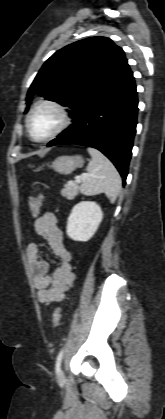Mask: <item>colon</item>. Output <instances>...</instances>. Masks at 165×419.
Listing matches in <instances>:
<instances>
[{"label":"colon","mask_w":165,"mask_h":419,"mask_svg":"<svg viewBox=\"0 0 165 419\" xmlns=\"http://www.w3.org/2000/svg\"><path fill=\"white\" fill-rule=\"evenodd\" d=\"M42 196L34 195L29 198V208L33 217H38L41 210ZM61 320V309L56 308L52 314V323L54 327L60 324Z\"/></svg>","instance_id":"1"}]
</instances>
